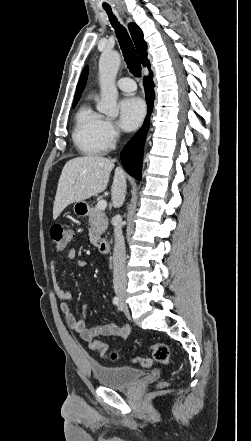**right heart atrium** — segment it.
Instances as JSON below:
<instances>
[{
	"label": "right heart atrium",
	"mask_w": 251,
	"mask_h": 441,
	"mask_svg": "<svg viewBox=\"0 0 251 441\" xmlns=\"http://www.w3.org/2000/svg\"><path fill=\"white\" fill-rule=\"evenodd\" d=\"M103 133L110 145L116 140L118 131L114 123L110 120H105L103 125Z\"/></svg>",
	"instance_id": "right-heart-atrium-1"
}]
</instances>
